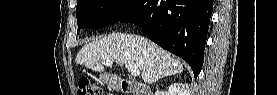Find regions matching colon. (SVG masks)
Here are the masks:
<instances>
[{"instance_id": "5ec220e1", "label": "colon", "mask_w": 277, "mask_h": 95, "mask_svg": "<svg viewBox=\"0 0 277 95\" xmlns=\"http://www.w3.org/2000/svg\"><path fill=\"white\" fill-rule=\"evenodd\" d=\"M79 95H101L103 94V88L100 85L92 83L88 78H81L78 85Z\"/></svg>"}]
</instances>
